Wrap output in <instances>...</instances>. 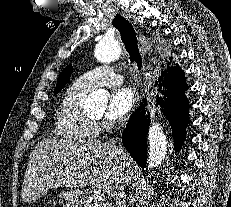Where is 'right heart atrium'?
Returning a JSON list of instances; mask_svg holds the SVG:
<instances>
[{"mask_svg":"<svg viewBox=\"0 0 231 207\" xmlns=\"http://www.w3.org/2000/svg\"><path fill=\"white\" fill-rule=\"evenodd\" d=\"M101 127H103V128H104V127H106V126H104V125H101Z\"/></svg>","mask_w":231,"mask_h":207,"instance_id":"obj_1","label":"right heart atrium"}]
</instances>
